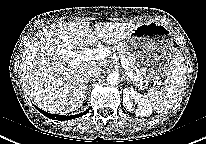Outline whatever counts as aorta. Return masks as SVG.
<instances>
[{
    "label": "aorta",
    "instance_id": "obj_1",
    "mask_svg": "<svg viewBox=\"0 0 206 144\" xmlns=\"http://www.w3.org/2000/svg\"><path fill=\"white\" fill-rule=\"evenodd\" d=\"M107 82L110 85H118L119 83V75L116 73H110L109 75H107Z\"/></svg>",
    "mask_w": 206,
    "mask_h": 144
}]
</instances>
